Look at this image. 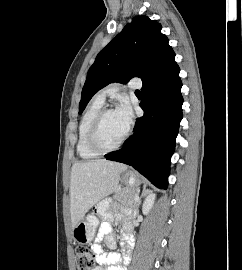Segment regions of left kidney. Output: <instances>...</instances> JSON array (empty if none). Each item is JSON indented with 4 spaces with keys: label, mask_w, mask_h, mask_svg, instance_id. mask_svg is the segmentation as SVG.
Instances as JSON below:
<instances>
[{
    "label": "left kidney",
    "mask_w": 242,
    "mask_h": 270,
    "mask_svg": "<svg viewBox=\"0 0 242 270\" xmlns=\"http://www.w3.org/2000/svg\"><path fill=\"white\" fill-rule=\"evenodd\" d=\"M155 197L156 195L152 192L146 197L142 207V212L144 215H147L151 210V208L153 207Z\"/></svg>",
    "instance_id": "obj_1"
}]
</instances>
